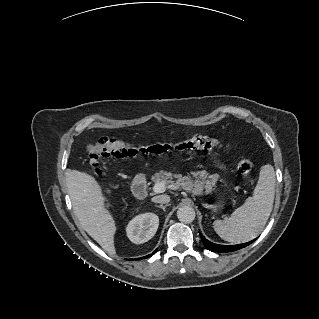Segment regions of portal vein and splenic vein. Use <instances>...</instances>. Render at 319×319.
<instances>
[{"label": "portal vein and splenic vein", "instance_id": "obj_1", "mask_svg": "<svg viewBox=\"0 0 319 319\" xmlns=\"http://www.w3.org/2000/svg\"><path fill=\"white\" fill-rule=\"evenodd\" d=\"M166 182L165 181H160V182H157L153 188H152V191L154 193H163L166 189V186H165Z\"/></svg>", "mask_w": 319, "mask_h": 319}]
</instances>
